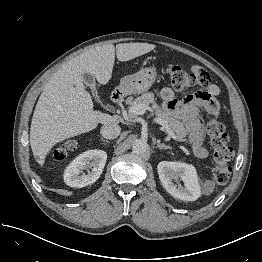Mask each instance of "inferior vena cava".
<instances>
[{
    "instance_id": "1",
    "label": "inferior vena cava",
    "mask_w": 262,
    "mask_h": 262,
    "mask_svg": "<svg viewBox=\"0 0 262 262\" xmlns=\"http://www.w3.org/2000/svg\"><path fill=\"white\" fill-rule=\"evenodd\" d=\"M121 128L117 123L104 124L101 127V134L106 139H115L119 136Z\"/></svg>"
}]
</instances>
